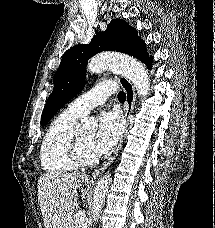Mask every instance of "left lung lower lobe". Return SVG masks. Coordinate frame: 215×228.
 <instances>
[{
  "label": "left lung lower lobe",
  "mask_w": 215,
  "mask_h": 228,
  "mask_svg": "<svg viewBox=\"0 0 215 228\" xmlns=\"http://www.w3.org/2000/svg\"><path fill=\"white\" fill-rule=\"evenodd\" d=\"M152 61H153V58L149 57L148 60L145 62L147 64L148 68H151Z\"/></svg>",
  "instance_id": "1"
}]
</instances>
